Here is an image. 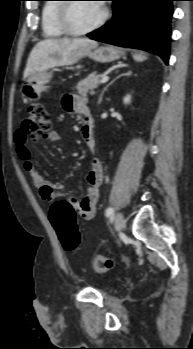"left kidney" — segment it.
<instances>
[{"instance_id":"5707ae66","label":"left kidney","mask_w":193,"mask_h":349,"mask_svg":"<svg viewBox=\"0 0 193 349\" xmlns=\"http://www.w3.org/2000/svg\"><path fill=\"white\" fill-rule=\"evenodd\" d=\"M131 101V96L130 95H126L123 99L124 104H129Z\"/></svg>"}]
</instances>
